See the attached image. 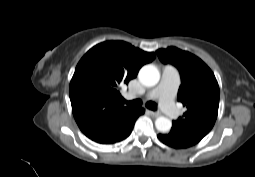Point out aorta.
<instances>
[{
	"instance_id": "aorta-1",
	"label": "aorta",
	"mask_w": 255,
	"mask_h": 177,
	"mask_svg": "<svg viewBox=\"0 0 255 177\" xmlns=\"http://www.w3.org/2000/svg\"><path fill=\"white\" fill-rule=\"evenodd\" d=\"M139 81L146 87L155 86L160 80V72L154 65L143 66L138 74ZM156 129L160 132H168L172 127L170 119L160 116L155 121Z\"/></svg>"
}]
</instances>
